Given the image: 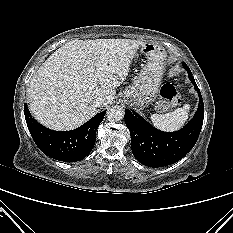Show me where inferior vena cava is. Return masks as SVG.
Masks as SVG:
<instances>
[{
	"instance_id": "1",
	"label": "inferior vena cava",
	"mask_w": 233,
	"mask_h": 233,
	"mask_svg": "<svg viewBox=\"0 0 233 233\" xmlns=\"http://www.w3.org/2000/svg\"><path fill=\"white\" fill-rule=\"evenodd\" d=\"M104 104V99L101 97H97L94 101H93V106L94 107H101Z\"/></svg>"
}]
</instances>
